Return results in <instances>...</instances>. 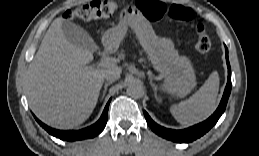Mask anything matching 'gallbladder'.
<instances>
[{
  "label": "gallbladder",
  "mask_w": 259,
  "mask_h": 156,
  "mask_svg": "<svg viewBox=\"0 0 259 156\" xmlns=\"http://www.w3.org/2000/svg\"><path fill=\"white\" fill-rule=\"evenodd\" d=\"M62 30L65 38L71 44L88 51H95L97 49L94 40L81 26L64 21Z\"/></svg>",
  "instance_id": "1"
}]
</instances>
